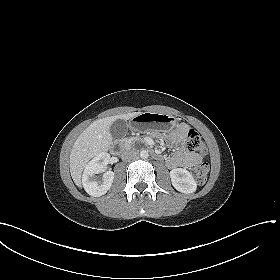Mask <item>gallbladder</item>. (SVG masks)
Listing matches in <instances>:
<instances>
[{"label": "gallbladder", "instance_id": "gallbladder-1", "mask_svg": "<svg viewBox=\"0 0 280 280\" xmlns=\"http://www.w3.org/2000/svg\"><path fill=\"white\" fill-rule=\"evenodd\" d=\"M127 129V121L117 119L111 124L109 131L114 139H121L126 135Z\"/></svg>", "mask_w": 280, "mask_h": 280}]
</instances>
